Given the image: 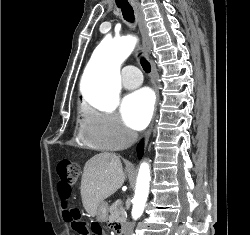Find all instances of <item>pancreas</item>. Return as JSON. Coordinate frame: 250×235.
Returning <instances> with one entry per match:
<instances>
[{"instance_id":"obj_1","label":"pancreas","mask_w":250,"mask_h":235,"mask_svg":"<svg viewBox=\"0 0 250 235\" xmlns=\"http://www.w3.org/2000/svg\"><path fill=\"white\" fill-rule=\"evenodd\" d=\"M126 220V212L122 205V202L119 200L118 203H114L110 207V216L109 221L110 222H125Z\"/></svg>"}]
</instances>
